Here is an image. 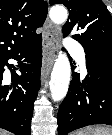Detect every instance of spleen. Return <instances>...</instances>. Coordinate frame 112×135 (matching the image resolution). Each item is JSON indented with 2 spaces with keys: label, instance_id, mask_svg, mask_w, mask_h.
<instances>
[{
  "label": "spleen",
  "instance_id": "3e777b00",
  "mask_svg": "<svg viewBox=\"0 0 112 135\" xmlns=\"http://www.w3.org/2000/svg\"><path fill=\"white\" fill-rule=\"evenodd\" d=\"M73 135H112V129L106 128L104 126H96L90 132L81 130L74 133Z\"/></svg>",
  "mask_w": 112,
  "mask_h": 135
}]
</instances>
